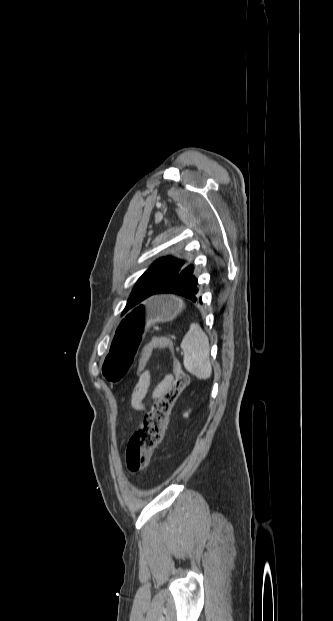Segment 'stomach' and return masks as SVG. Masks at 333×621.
<instances>
[{
	"label": "stomach",
	"instance_id": "stomach-1",
	"mask_svg": "<svg viewBox=\"0 0 333 621\" xmlns=\"http://www.w3.org/2000/svg\"><path fill=\"white\" fill-rule=\"evenodd\" d=\"M181 305L169 296H154L145 305L131 312L121 323L108 343L104 354L102 373L112 386L128 376L140 353L144 326L167 322L176 318Z\"/></svg>",
	"mask_w": 333,
	"mask_h": 621
}]
</instances>
